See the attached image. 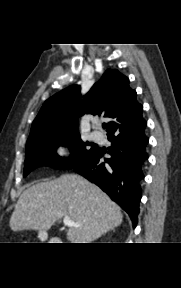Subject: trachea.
Returning a JSON list of instances; mask_svg holds the SVG:
<instances>
[{"mask_svg": "<svg viewBox=\"0 0 181 288\" xmlns=\"http://www.w3.org/2000/svg\"><path fill=\"white\" fill-rule=\"evenodd\" d=\"M107 127V125L106 124H103V128H106Z\"/></svg>", "mask_w": 181, "mask_h": 288, "instance_id": "trachea-1", "label": "trachea"}]
</instances>
